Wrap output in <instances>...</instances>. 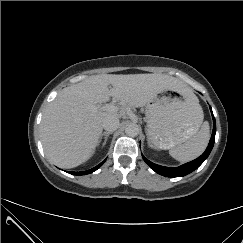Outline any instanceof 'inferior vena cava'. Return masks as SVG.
<instances>
[{
  "instance_id": "inferior-vena-cava-1",
  "label": "inferior vena cava",
  "mask_w": 243,
  "mask_h": 243,
  "mask_svg": "<svg viewBox=\"0 0 243 243\" xmlns=\"http://www.w3.org/2000/svg\"><path fill=\"white\" fill-rule=\"evenodd\" d=\"M119 119L115 117H107L103 121V128L108 132H113L119 127Z\"/></svg>"
}]
</instances>
